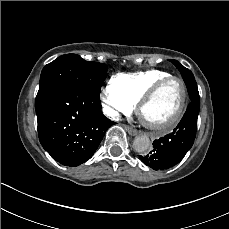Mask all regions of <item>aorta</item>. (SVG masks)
<instances>
[{"label":"aorta","mask_w":229,"mask_h":229,"mask_svg":"<svg viewBox=\"0 0 229 229\" xmlns=\"http://www.w3.org/2000/svg\"><path fill=\"white\" fill-rule=\"evenodd\" d=\"M133 145L138 153H146L150 147V140L145 135L137 136L134 139Z\"/></svg>","instance_id":"aorta-1"}]
</instances>
